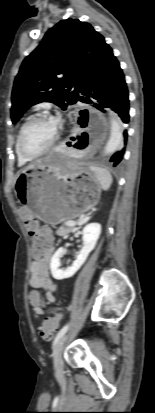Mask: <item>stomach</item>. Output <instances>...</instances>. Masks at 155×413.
<instances>
[{
	"mask_svg": "<svg viewBox=\"0 0 155 413\" xmlns=\"http://www.w3.org/2000/svg\"><path fill=\"white\" fill-rule=\"evenodd\" d=\"M101 189L90 169L63 168L50 157L21 169L15 183L19 203L51 225L92 210L100 200Z\"/></svg>",
	"mask_w": 155,
	"mask_h": 413,
	"instance_id": "stomach-1",
	"label": "stomach"
}]
</instances>
